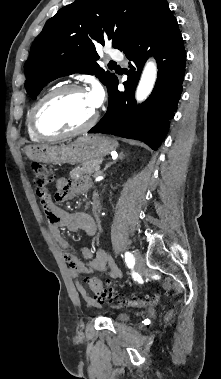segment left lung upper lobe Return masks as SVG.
<instances>
[{
  "mask_svg": "<svg viewBox=\"0 0 221 379\" xmlns=\"http://www.w3.org/2000/svg\"><path fill=\"white\" fill-rule=\"evenodd\" d=\"M165 0H75L50 18L32 44L25 87L32 99L50 81L73 73L95 75L107 85L117 78L97 64L95 46L110 40L123 50L153 20Z\"/></svg>",
  "mask_w": 221,
  "mask_h": 379,
  "instance_id": "obj_1",
  "label": "left lung upper lobe"
}]
</instances>
